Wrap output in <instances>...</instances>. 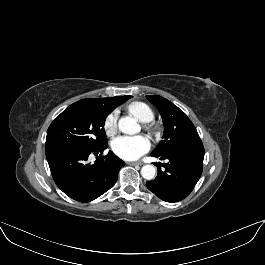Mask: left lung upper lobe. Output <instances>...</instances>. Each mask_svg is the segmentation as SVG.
Here are the masks:
<instances>
[{
	"instance_id": "left-lung-upper-lobe-1",
	"label": "left lung upper lobe",
	"mask_w": 265,
	"mask_h": 265,
	"mask_svg": "<svg viewBox=\"0 0 265 265\" xmlns=\"http://www.w3.org/2000/svg\"><path fill=\"white\" fill-rule=\"evenodd\" d=\"M146 97L159 110L165 127L163 140L153 154L162 155L174 148L201 141L195 126L181 109L159 95Z\"/></svg>"
}]
</instances>
